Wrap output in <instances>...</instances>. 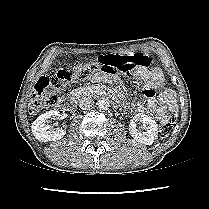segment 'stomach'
Masks as SVG:
<instances>
[{"label": "stomach", "mask_w": 209, "mask_h": 209, "mask_svg": "<svg viewBox=\"0 0 209 209\" xmlns=\"http://www.w3.org/2000/svg\"><path fill=\"white\" fill-rule=\"evenodd\" d=\"M74 75L78 79H85L89 75V68L85 64H78L74 68Z\"/></svg>", "instance_id": "1"}]
</instances>
